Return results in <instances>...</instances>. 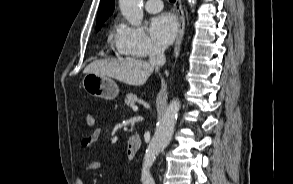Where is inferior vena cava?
Segmentation results:
<instances>
[{
    "instance_id": "602c4592",
    "label": "inferior vena cava",
    "mask_w": 293,
    "mask_h": 184,
    "mask_svg": "<svg viewBox=\"0 0 293 184\" xmlns=\"http://www.w3.org/2000/svg\"><path fill=\"white\" fill-rule=\"evenodd\" d=\"M166 62V57L164 54L163 47L153 44L149 52V63L155 67L156 71L163 66Z\"/></svg>"
}]
</instances>
